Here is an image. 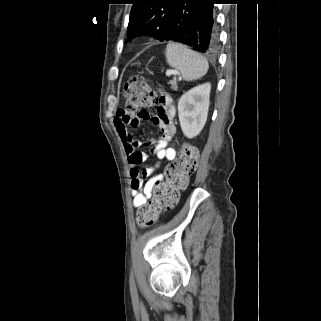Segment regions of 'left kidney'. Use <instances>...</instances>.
<instances>
[{
	"mask_svg": "<svg viewBox=\"0 0 321 321\" xmlns=\"http://www.w3.org/2000/svg\"><path fill=\"white\" fill-rule=\"evenodd\" d=\"M210 90V83L198 85L184 93L178 102L180 126L189 139L196 137L206 123Z\"/></svg>",
	"mask_w": 321,
	"mask_h": 321,
	"instance_id": "left-kidney-1",
	"label": "left kidney"
}]
</instances>
